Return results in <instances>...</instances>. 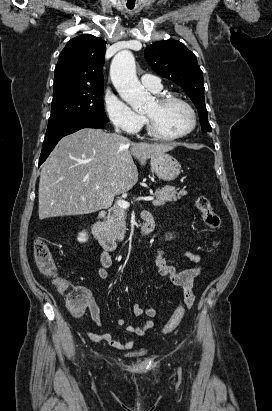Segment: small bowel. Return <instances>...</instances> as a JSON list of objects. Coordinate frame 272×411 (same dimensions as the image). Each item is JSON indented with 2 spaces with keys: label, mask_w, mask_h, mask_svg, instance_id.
Here are the masks:
<instances>
[{
  "label": "small bowel",
  "mask_w": 272,
  "mask_h": 411,
  "mask_svg": "<svg viewBox=\"0 0 272 411\" xmlns=\"http://www.w3.org/2000/svg\"><path fill=\"white\" fill-rule=\"evenodd\" d=\"M143 218L146 219L150 216L148 213L144 212L142 214ZM186 257L189 258L194 263H199L202 260L201 255L195 254L191 251H186ZM101 263L102 268L98 270V275L102 279L108 278V269L112 267L113 261L111 255L107 251H103L101 253ZM154 265L159 273L160 276L168 279L172 284L177 286L181 292V295L184 299L190 298L191 304L190 307L193 306L195 301V296L193 294V287L196 277L201 273V267H191L186 269H178L175 266L171 265L167 262L164 253L162 251H158L156 253L154 259ZM88 309L90 312V316L93 322L101 327L103 325L102 319L100 316V310L95 301L90 297V302L88 304ZM133 313L136 316H145L148 320L144 321L140 325H128L126 327V331L134 336L141 337L144 336L145 333L149 330L155 328L156 323L153 320L154 317L157 315V310L154 307H142L139 304H135L133 306ZM116 324L118 326H124L126 321L124 318H117ZM86 336L89 340L93 342H104L111 347H114L118 350L128 351L132 350L135 347L136 341L134 338H130L125 341L115 340L110 333H95L91 331L86 332Z\"/></svg>",
  "instance_id": "obj_1"
}]
</instances>
